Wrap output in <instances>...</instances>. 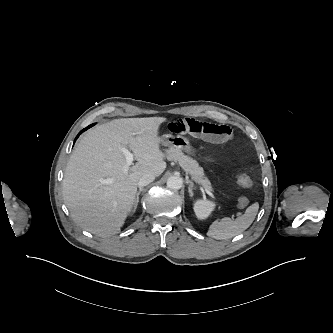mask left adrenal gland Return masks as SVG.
<instances>
[{
    "instance_id": "left-adrenal-gland-1",
    "label": "left adrenal gland",
    "mask_w": 333,
    "mask_h": 333,
    "mask_svg": "<svg viewBox=\"0 0 333 333\" xmlns=\"http://www.w3.org/2000/svg\"><path fill=\"white\" fill-rule=\"evenodd\" d=\"M187 183L189 184V187H188L189 195H190V197H193V189H196V187H194L192 181H187Z\"/></svg>"
}]
</instances>
